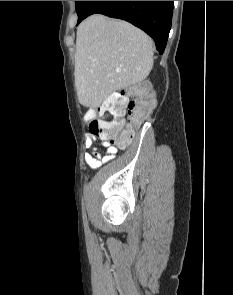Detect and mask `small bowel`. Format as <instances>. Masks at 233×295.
I'll list each match as a JSON object with an SVG mask.
<instances>
[{
  "mask_svg": "<svg viewBox=\"0 0 233 295\" xmlns=\"http://www.w3.org/2000/svg\"><path fill=\"white\" fill-rule=\"evenodd\" d=\"M97 141V138L93 134H88L85 140V148L91 150V153L85 154V162L91 168H98L101 164L107 163L112 160L117 154V148L104 143L106 147L105 151H98L94 147V143Z\"/></svg>",
  "mask_w": 233,
  "mask_h": 295,
  "instance_id": "1",
  "label": "small bowel"
}]
</instances>
